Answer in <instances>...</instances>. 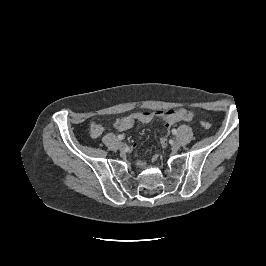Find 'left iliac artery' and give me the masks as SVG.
Instances as JSON below:
<instances>
[{"instance_id": "obj_1", "label": "left iliac artery", "mask_w": 266, "mask_h": 266, "mask_svg": "<svg viewBox=\"0 0 266 266\" xmlns=\"http://www.w3.org/2000/svg\"><path fill=\"white\" fill-rule=\"evenodd\" d=\"M172 134L176 135L177 134V130L176 129H173L172 130Z\"/></svg>"}]
</instances>
